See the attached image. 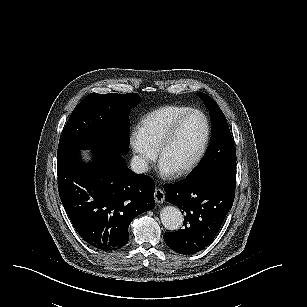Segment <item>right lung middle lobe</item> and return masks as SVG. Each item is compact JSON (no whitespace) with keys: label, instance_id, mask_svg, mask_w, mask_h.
I'll use <instances>...</instances> for the list:
<instances>
[{"label":"right lung middle lobe","instance_id":"dd1d6c3e","mask_svg":"<svg viewBox=\"0 0 307 307\" xmlns=\"http://www.w3.org/2000/svg\"><path fill=\"white\" fill-rule=\"evenodd\" d=\"M140 102L137 93L87 95L73 110L60 138L57 158L83 148H104L127 154L128 111Z\"/></svg>","mask_w":307,"mask_h":307}]
</instances>
